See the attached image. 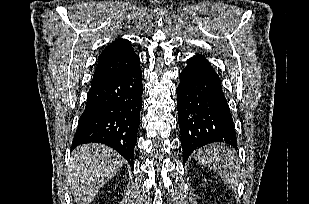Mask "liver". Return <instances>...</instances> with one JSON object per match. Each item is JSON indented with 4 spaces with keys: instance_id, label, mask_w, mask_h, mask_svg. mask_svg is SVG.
<instances>
[{
    "instance_id": "liver-1",
    "label": "liver",
    "mask_w": 309,
    "mask_h": 204,
    "mask_svg": "<svg viewBox=\"0 0 309 204\" xmlns=\"http://www.w3.org/2000/svg\"><path fill=\"white\" fill-rule=\"evenodd\" d=\"M124 159L102 144H87L72 152L68 184L77 204H89L103 185L122 168Z\"/></svg>"
}]
</instances>
